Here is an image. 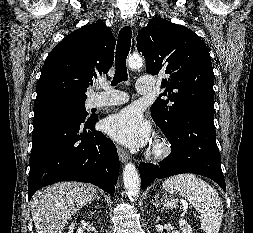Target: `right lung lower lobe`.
I'll return each instance as SVG.
<instances>
[{
    "mask_svg": "<svg viewBox=\"0 0 253 233\" xmlns=\"http://www.w3.org/2000/svg\"><path fill=\"white\" fill-rule=\"evenodd\" d=\"M97 119L62 112L34 117L29 200L38 189L58 181L87 182L114 194L119 157L114 143L95 130Z\"/></svg>",
    "mask_w": 253,
    "mask_h": 233,
    "instance_id": "1",
    "label": "right lung lower lobe"
}]
</instances>
